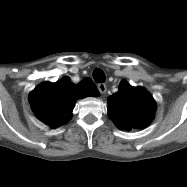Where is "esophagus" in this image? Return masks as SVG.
Wrapping results in <instances>:
<instances>
[{
    "label": "esophagus",
    "mask_w": 187,
    "mask_h": 187,
    "mask_svg": "<svg viewBox=\"0 0 187 187\" xmlns=\"http://www.w3.org/2000/svg\"><path fill=\"white\" fill-rule=\"evenodd\" d=\"M97 87H98V90L101 94L106 92L107 88H106V85L104 83H98Z\"/></svg>",
    "instance_id": "obj_1"
}]
</instances>
